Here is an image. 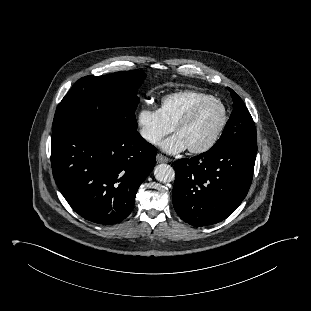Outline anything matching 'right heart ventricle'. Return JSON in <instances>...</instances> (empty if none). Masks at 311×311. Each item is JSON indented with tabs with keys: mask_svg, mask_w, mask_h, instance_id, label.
Instances as JSON below:
<instances>
[{
	"mask_svg": "<svg viewBox=\"0 0 311 311\" xmlns=\"http://www.w3.org/2000/svg\"><path fill=\"white\" fill-rule=\"evenodd\" d=\"M212 97L197 91H180L162 98L159 111L164 120L174 128L182 116L196 103Z\"/></svg>",
	"mask_w": 311,
	"mask_h": 311,
	"instance_id": "right-heart-ventricle-1",
	"label": "right heart ventricle"
}]
</instances>
